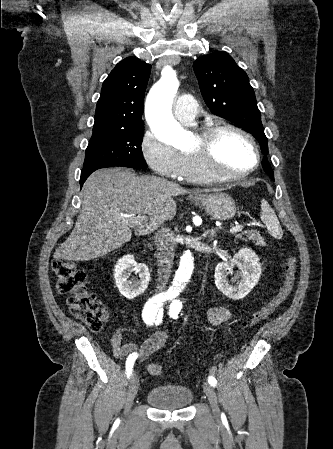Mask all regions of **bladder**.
<instances>
[{
	"mask_svg": "<svg viewBox=\"0 0 333 449\" xmlns=\"http://www.w3.org/2000/svg\"><path fill=\"white\" fill-rule=\"evenodd\" d=\"M146 401L157 409L177 410L186 408L192 403L193 392L184 385L161 384L150 388Z\"/></svg>",
	"mask_w": 333,
	"mask_h": 449,
	"instance_id": "obj_1",
	"label": "bladder"
}]
</instances>
